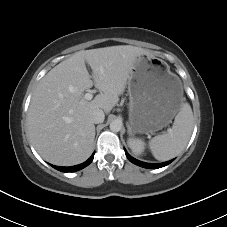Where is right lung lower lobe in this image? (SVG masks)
I'll use <instances>...</instances> for the list:
<instances>
[{"label":"right lung lower lobe","instance_id":"1","mask_svg":"<svg viewBox=\"0 0 227 227\" xmlns=\"http://www.w3.org/2000/svg\"><path fill=\"white\" fill-rule=\"evenodd\" d=\"M94 154H95V152L92 154V156L87 161H85L82 164L76 165V166H71V167H58V166H53V165H51V166L62 172H75V171L81 170V169L85 168L86 166H88L92 162V160L94 158Z\"/></svg>","mask_w":227,"mask_h":227}]
</instances>
